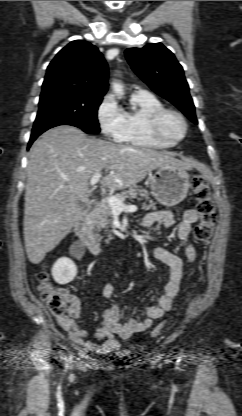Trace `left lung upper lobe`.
Returning a JSON list of instances; mask_svg holds the SVG:
<instances>
[{
    "label": "left lung upper lobe",
    "mask_w": 242,
    "mask_h": 416,
    "mask_svg": "<svg viewBox=\"0 0 242 416\" xmlns=\"http://www.w3.org/2000/svg\"><path fill=\"white\" fill-rule=\"evenodd\" d=\"M125 55L134 72L153 91L198 123L183 68L169 49L161 43H152L143 48H129Z\"/></svg>",
    "instance_id": "1"
}]
</instances>
